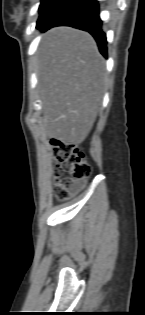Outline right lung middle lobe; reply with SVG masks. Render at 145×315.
<instances>
[{
	"label": "right lung middle lobe",
	"mask_w": 145,
	"mask_h": 315,
	"mask_svg": "<svg viewBox=\"0 0 145 315\" xmlns=\"http://www.w3.org/2000/svg\"><path fill=\"white\" fill-rule=\"evenodd\" d=\"M67 0H41L36 28L41 29Z\"/></svg>",
	"instance_id": "dd1d6c3e"
}]
</instances>
